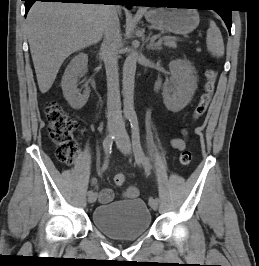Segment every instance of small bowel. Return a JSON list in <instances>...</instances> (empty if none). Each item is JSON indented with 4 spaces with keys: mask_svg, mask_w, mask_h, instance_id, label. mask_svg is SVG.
<instances>
[{
    "mask_svg": "<svg viewBox=\"0 0 259 266\" xmlns=\"http://www.w3.org/2000/svg\"><path fill=\"white\" fill-rule=\"evenodd\" d=\"M186 135V132L184 131V136ZM171 145L174 149L183 151L186 148V139L183 138H176L171 141ZM93 184H96L95 181H93ZM124 197L128 199H134L138 196V189L134 186H129L125 191H124ZM114 198V192L111 189H103L99 193V202L100 203H108L112 201Z\"/></svg>",
    "mask_w": 259,
    "mask_h": 266,
    "instance_id": "c3829d8e",
    "label": "small bowel"
}]
</instances>
